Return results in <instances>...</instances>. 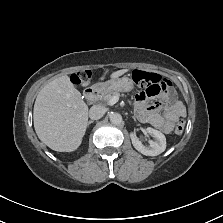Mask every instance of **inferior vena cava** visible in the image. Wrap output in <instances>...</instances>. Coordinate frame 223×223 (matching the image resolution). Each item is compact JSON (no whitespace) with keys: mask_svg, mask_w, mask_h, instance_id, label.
<instances>
[{"mask_svg":"<svg viewBox=\"0 0 223 223\" xmlns=\"http://www.w3.org/2000/svg\"><path fill=\"white\" fill-rule=\"evenodd\" d=\"M105 113V108L101 105H94L89 110V117L91 119H99L101 118Z\"/></svg>","mask_w":223,"mask_h":223,"instance_id":"obj_1","label":"inferior vena cava"}]
</instances>
